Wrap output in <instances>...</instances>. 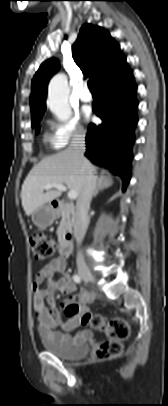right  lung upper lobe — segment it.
Returning <instances> with one entry per match:
<instances>
[{"mask_svg": "<svg viewBox=\"0 0 168 406\" xmlns=\"http://www.w3.org/2000/svg\"><path fill=\"white\" fill-rule=\"evenodd\" d=\"M72 56L82 72L86 73L96 86L127 66L126 57L118 43L105 29L90 24L81 27L72 46ZM58 69V60L50 58L41 64L32 80V123L40 121L46 109L48 82Z\"/></svg>", "mask_w": 168, "mask_h": 406, "instance_id": "1", "label": "right lung upper lobe"}]
</instances>
